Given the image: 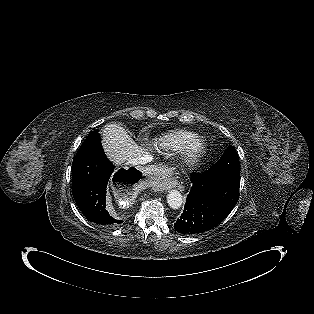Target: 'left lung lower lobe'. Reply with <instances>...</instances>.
Here are the masks:
<instances>
[{"mask_svg":"<svg viewBox=\"0 0 314 314\" xmlns=\"http://www.w3.org/2000/svg\"><path fill=\"white\" fill-rule=\"evenodd\" d=\"M192 188L180 218L174 224L180 234L209 231L221 223L239 198L240 173H193Z\"/></svg>","mask_w":314,"mask_h":314,"instance_id":"0a47b994","label":"left lung lower lobe"}]
</instances>
